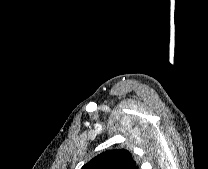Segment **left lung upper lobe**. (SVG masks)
I'll return each instance as SVG.
<instances>
[{"instance_id":"obj_1","label":"left lung upper lobe","mask_w":208,"mask_h":169,"mask_svg":"<svg viewBox=\"0 0 208 169\" xmlns=\"http://www.w3.org/2000/svg\"><path fill=\"white\" fill-rule=\"evenodd\" d=\"M81 169H138V166L128 150L113 149L94 157Z\"/></svg>"}]
</instances>
